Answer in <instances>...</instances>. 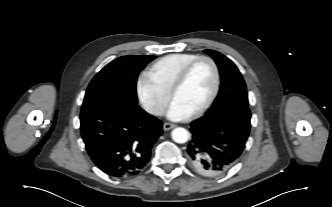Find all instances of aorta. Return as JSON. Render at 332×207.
Instances as JSON below:
<instances>
[{
    "label": "aorta",
    "instance_id": "aorta-1",
    "mask_svg": "<svg viewBox=\"0 0 332 207\" xmlns=\"http://www.w3.org/2000/svg\"><path fill=\"white\" fill-rule=\"evenodd\" d=\"M173 141L179 144H183L189 139V132L182 127L175 128L171 133Z\"/></svg>",
    "mask_w": 332,
    "mask_h": 207
}]
</instances>
